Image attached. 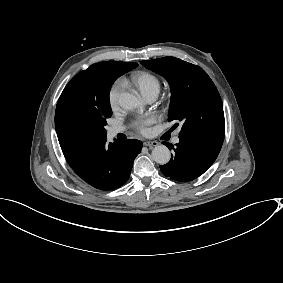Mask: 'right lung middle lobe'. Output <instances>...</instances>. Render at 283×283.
<instances>
[{"label":"right lung middle lobe","instance_id":"dd1d6c3e","mask_svg":"<svg viewBox=\"0 0 283 283\" xmlns=\"http://www.w3.org/2000/svg\"><path fill=\"white\" fill-rule=\"evenodd\" d=\"M112 115V110L110 105H107L101 110L95 111L91 119L93 123L101 129H104V126L107 125L106 119Z\"/></svg>","mask_w":283,"mask_h":283}]
</instances>
